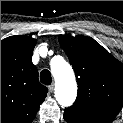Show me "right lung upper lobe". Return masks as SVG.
Masks as SVG:
<instances>
[{"label":"right lung upper lobe","instance_id":"right-lung-upper-lobe-1","mask_svg":"<svg viewBox=\"0 0 123 123\" xmlns=\"http://www.w3.org/2000/svg\"><path fill=\"white\" fill-rule=\"evenodd\" d=\"M35 44L25 35L1 41V123H32L47 95L31 61Z\"/></svg>","mask_w":123,"mask_h":123}]
</instances>
